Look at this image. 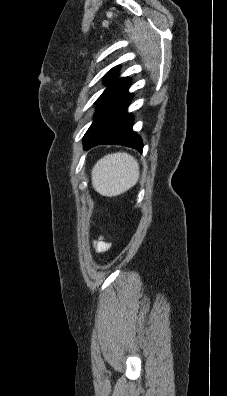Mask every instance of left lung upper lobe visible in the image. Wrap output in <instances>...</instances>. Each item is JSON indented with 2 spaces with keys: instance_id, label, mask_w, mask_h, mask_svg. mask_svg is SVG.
<instances>
[{
  "instance_id": "left-lung-upper-lobe-1",
  "label": "left lung upper lobe",
  "mask_w": 227,
  "mask_h": 396,
  "mask_svg": "<svg viewBox=\"0 0 227 396\" xmlns=\"http://www.w3.org/2000/svg\"><path fill=\"white\" fill-rule=\"evenodd\" d=\"M119 67L116 66L112 68L106 75L105 78L107 82H110L106 90L102 93V95L98 98L97 102H100L106 95H108L111 91L121 85L127 78L116 79L118 74Z\"/></svg>"
}]
</instances>
